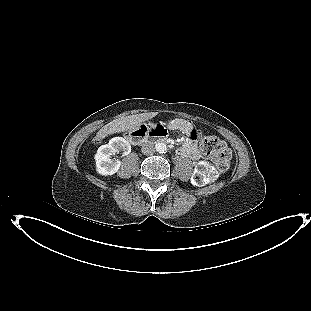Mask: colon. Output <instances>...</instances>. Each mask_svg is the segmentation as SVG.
I'll return each mask as SVG.
<instances>
[{
  "mask_svg": "<svg viewBox=\"0 0 311 311\" xmlns=\"http://www.w3.org/2000/svg\"><path fill=\"white\" fill-rule=\"evenodd\" d=\"M201 150L206 157L212 160L214 167L205 162L197 165L193 176V180L197 185L207 184L213 181L218 174L227 171L232 159L230 148L215 136L203 137L201 140Z\"/></svg>",
  "mask_w": 311,
  "mask_h": 311,
  "instance_id": "5ec220e1",
  "label": "colon"
}]
</instances>
